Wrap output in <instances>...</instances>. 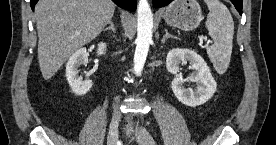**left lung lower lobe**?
Returning a JSON list of instances; mask_svg holds the SVG:
<instances>
[{
    "label": "left lung lower lobe",
    "mask_w": 276,
    "mask_h": 145,
    "mask_svg": "<svg viewBox=\"0 0 276 145\" xmlns=\"http://www.w3.org/2000/svg\"><path fill=\"white\" fill-rule=\"evenodd\" d=\"M172 0H153V6L156 8H160L163 7L167 4H169ZM235 8L237 9V11L240 13V15L242 14V3L243 0H230Z\"/></svg>",
    "instance_id": "obj_1"
}]
</instances>
